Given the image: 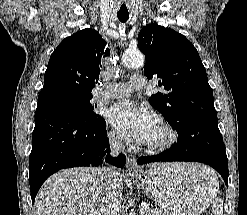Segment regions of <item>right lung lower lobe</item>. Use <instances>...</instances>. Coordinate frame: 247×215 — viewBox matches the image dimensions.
I'll return each mask as SVG.
<instances>
[{"mask_svg": "<svg viewBox=\"0 0 247 215\" xmlns=\"http://www.w3.org/2000/svg\"><path fill=\"white\" fill-rule=\"evenodd\" d=\"M106 162L123 167L126 157L109 156L105 120H82L50 106L38 105L29 163L31 199L44 181L63 168L98 166Z\"/></svg>", "mask_w": 247, "mask_h": 215, "instance_id": "right-lung-lower-lobe-1", "label": "right lung lower lobe"}]
</instances>
